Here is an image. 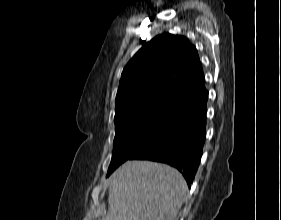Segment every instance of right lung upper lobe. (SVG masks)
I'll list each match as a JSON object with an SVG mask.
<instances>
[{
	"label": "right lung upper lobe",
	"mask_w": 281,
	"mask_h": 220,
	"mask_svg": "<svg viewBox=\"0 0 281 220\" xmlns=\"http://www.w3.org/2000/svg\"><path fill=\"white\" fill-rule=\"evenodd\" d=\"M206 92L195 46L165 33L143 44L125 66L116 96L115 120L147 114L171 116Z\"/></svg>",
	"instance_id": "cb5924a9"
}]
</instances>
